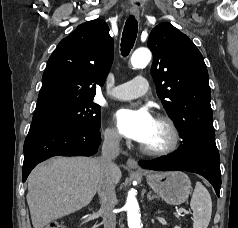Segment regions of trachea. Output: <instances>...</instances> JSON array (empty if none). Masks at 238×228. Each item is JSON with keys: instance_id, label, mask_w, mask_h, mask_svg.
<instances>
[{"instance_id": "obj_1", "label": "trachea", "mask_w": 238, "mask_h": 228, "mask_svg": "<svg viewBox=\"0 0 238 228\" xmlns=\"http://www.w3.org/2000/svg\"><path fill=\"white\" fill-rule=\"evenodd\" d=\"M138 32L137 20L130 16L124 26L121 38V52L123 56H127L134 46Z\"/></svg>"}]
</instances>
